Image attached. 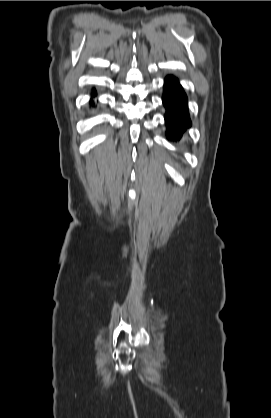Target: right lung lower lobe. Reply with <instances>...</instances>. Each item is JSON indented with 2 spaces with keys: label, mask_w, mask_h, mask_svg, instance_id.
I'll use <instances>...</instances> for the list:
<instances>
[{
  "label": "right lung lower lobe",
  "mask_w": 271,
  "mask_h": 418,
  "mask_svg": "<svg viewBox=\"0 0 271 418\" xmlns=\"http://www.w3.org/2000/svg\"><path fill=\"white\" fill-rule=\"evenodd\" d=\"M96 94H97L96 91H93L92 96H94ZM90 104L93 105V101L92 100H90Z\"/></svg>",
  "instance_id": "right-lung-lower-lobe-1"
}]
</instances>
